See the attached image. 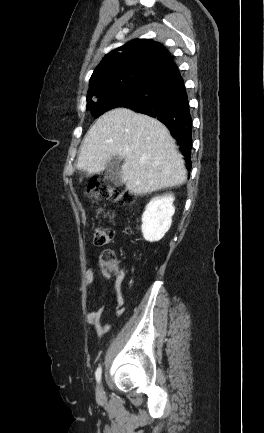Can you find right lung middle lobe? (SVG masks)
Returning <instances> with one entry per match:
<instances>
[{
  "instance_id": "dd1d6c3e",
  "label": "right lung middle lobe",
  "mask_w": 264,
  "mask_h": 433,
  "mask_svg": "<svg viewBox=\"0 0 264 433\" xmlns=\"http://www.w3.org/2000/svg\"><path fill=\"white\" fill-rule=\"evenodd\" d=\"M141 85L128 86L102 97L87 99L86 108L97 118L112 108L124 107L138 93Z\"/></svg>"
}]
</instances>
